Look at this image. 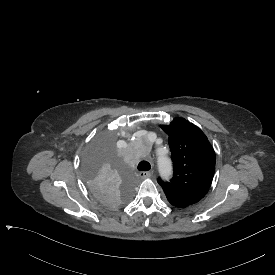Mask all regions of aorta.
<instances>
[{
	"instance_id": "obj_1",
	"label": "aorta",
	"mask_w": 275,
	"mask_h": 275,
	"mask_svg": "<svg viewBox=\"0 0 275 275\" xmlns=\"http://www.w3.org/2000/svg\"><path fill=\"white\" fill-rule=\"evenodd\" d=\"M159 169L162 177L166 178L171 173V162L167 158H160Z\"/></svg>"
}]
</instances>
